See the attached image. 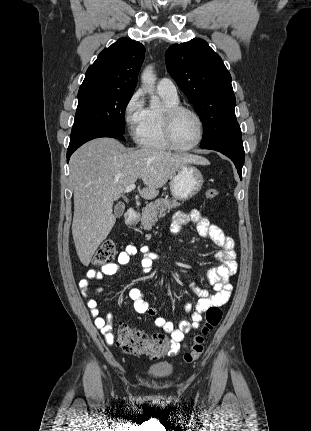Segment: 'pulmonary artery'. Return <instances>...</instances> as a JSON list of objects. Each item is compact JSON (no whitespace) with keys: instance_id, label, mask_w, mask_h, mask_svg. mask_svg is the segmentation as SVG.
<instances>
[{"instance_id":"pulmonary-artery-1","label":"pulmonary artery","mask_w":311,"mask_h":431,"mask_svg":"<svg viewBox=\"0 0 311 431\" xmlns=\"http://www.w3.org/2000/svg\"><path fill=\"white\" fill-rule=\"evenodd\" d=\"M157 89L160 93L169 96H177V88L174 82L169 78H162L157 83Z\"/></svg>"}]
</instances>
